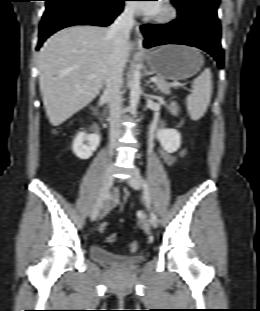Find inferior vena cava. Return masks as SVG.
Here are the masks:
<instances>
[{"label": "inferior vena cava", "instance_id": "inferior-vena-cava-1", "mask_svg": "<svg viewBox=\"0 0 260 311\" xmlns=\"http://www.w3.org/2000/svg\"><path fill=\"white\" fill-rule=\"evenodd\" d=\"M133 16V9L126 8L107 31V36L113 40L111 67L105 80L106 88L104 90V96L109 104L111 149L115 148L121 134L122 96L120 88L125 65V47L134 24Z\"/></svg>", "mask_w": 260, "mask_h": 311}]
</instances>
